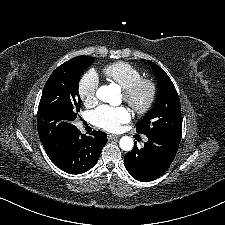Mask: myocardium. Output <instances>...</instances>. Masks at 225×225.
<instances>
[{
	"label": "myocardium",
	"instance_id": "myocardium-1",
	"mask_svg": "<svg viewBox=\"0 0 225 225\" xmlns=\"http://www.w3.org/2000/svg\"><path fill=\"white\" fill-rule=\"evenodd\" d=\"M147 90V97L143 102L138 100L139 93ZM126 103L138 114L147 113L153 106L157 96L156 83L150 78H140L123 90Z\"/></svg>",
	"mask_w": 225,
	"mask_h": 225
}]
</instances>
